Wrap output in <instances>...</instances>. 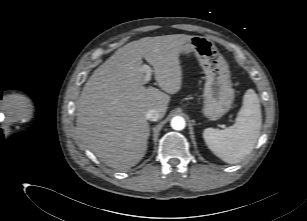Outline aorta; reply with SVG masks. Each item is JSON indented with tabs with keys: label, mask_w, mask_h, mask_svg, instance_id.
<instances>
[{
	"label": "aorta",
	"mask_w": 307,
	"mask_h": 221,
	"mask_svg": "<svg viewBox=\"0 0 307 221\" xmlns=\"http://www.w3.org/2000/svg\"><path fill=\"white\" fill-rule=\"evenodd\" d=\"M186 126V122L183 117L175 116L171 119V127L174 130H183Z\"/></svg>",
	"instance_id": "obj_1"
}]
</instances>
